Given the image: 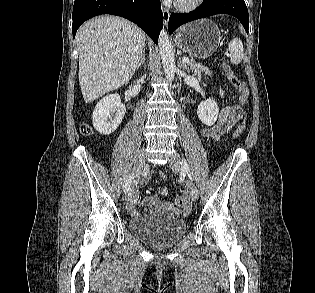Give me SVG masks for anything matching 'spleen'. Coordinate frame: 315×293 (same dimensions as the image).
<instances>
[{
	"instance_id": "spleen-1",
	"label": "spleen",
	"mask_w": 315,
	"mask_h": 293,
	"mask_svg": "<svg viewBox=\"0 0 315 293\" xmlns=\"http://www.w3.org/2000/svg\"><path fill=\"white\" fill-rule=\"evenodd\" d=\"M228 50L230 52V61L232 64H239L244 56L243 43L239 38H234L228 45Z\"/></svg>"
}]
</instances>
